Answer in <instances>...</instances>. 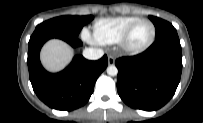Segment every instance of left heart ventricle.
Instances as JSON below:
<instances>
[{
	"label": "left heart ventricle",
	"instance_id": "b2bd125f",
	"mask_svg": "<svg viewBox=\"0 0 203 123\" xmlns=\"http://www.w3.org/2000/svg\"><path fill=\"white\" fill-rule=\"evenodd\" d=\"M151 35V25L147 22L139 23L132 31L128 45L133 48L141 47L149 41Z\"/></svg>",
	"mask_w": 203,
	"mask_h": 123
}]
</instances>
